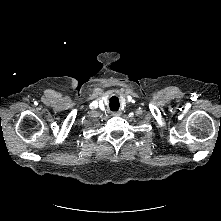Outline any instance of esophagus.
I'll list each match as a JSON object with an SVG mask.
<instances>
[{
    "label": "esophagus",
    "instance_id": "esophagus-1",
    "mask_svg": "<svg viewBox=\"0 0 221 221\" xmlns=\"http://www.w3.org/2000/svg\"><path fill=\"white\" fill-rule=\"evenodd\" d=\"M120 114H121L120 111H114V112H112V115H113V116H119Z\"/></svg>",
    "mask_w": 221,
    "mask_h": 221
}]
</instances>
